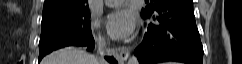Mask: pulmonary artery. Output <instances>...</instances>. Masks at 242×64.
<instances>
[{"label": "pulmonary artery", "instance_id": "obj_1", "mask_svg": "<svg viewBox=\"0 0 242 64\" xmlns=\"http://www.w3.org/2000/svg\"><path fill=\"white\" fill-rule=\"evenodd\" d=\"M123 2V0H106L105 3L108 6H118Z\"/></svg>", "mask_w": 242, "mask_h": 64}]
</instances>
